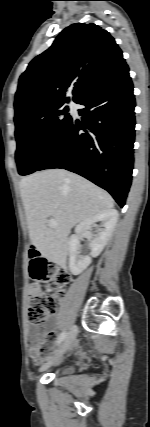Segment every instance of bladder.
Wrapping results in <instances>:
<instances>
[{"instance_id":"obj_1","label":"bladder","mask_w":150,"mask_h":427,"mask_svg":"<svg viewBox=\"0 0 150 427\" xmlns=\"http://www.w3.org/2000/svg\"><path fill=\"white\" fill-rule=\"evenodd\" d=\"M72 372V369L71 368H65V369H63L62 371H61V374L62 375H66V374H69V373H71Z\"/></svg>"}]
</instances>
